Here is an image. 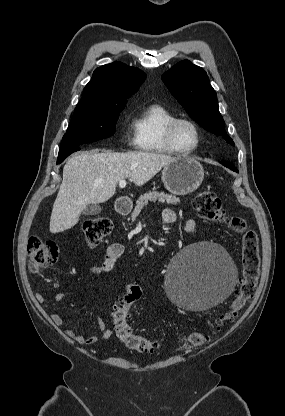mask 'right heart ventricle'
Here are the masks:
<instances>
[{"label": "right heart ventricle", "instance_id": "right-heart-ventricle-1", "mask_svg": "<svg viewBox=\"0 0 285 416\" xmlns=\"http://www.w3.org/2000/svg\"><path fill=\"white\" fill-rule=\"evenodd\" d=\"M176 115L164 104L151 103L134 119L136 147L151 154H169L166 145L165 127Z\"/></svg>", "mask_w": 285, "mask_h": 416}]
</instances>
